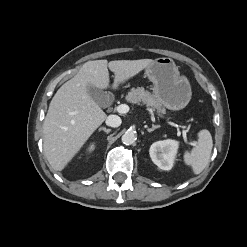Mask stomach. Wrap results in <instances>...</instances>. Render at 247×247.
<instances>
[{
    "label": "stomach",
    "instance_id": "0dacf381",
    "mask_svg": "<svg viewBox=\"0 0 247 247\" xmlns=\"http://www.w3.org/2000/svg\"><path fill=\"white\" fill-rule=\"evenodd\" d=\"M145 73L153 83L155 98L167 109L185 108L192 95L188 79L181 75L175 62L168 57L157 58L148 65Z\"/></svg>",
    "mask_w": 247,
    "mask_h": 247
}]
</instances>
